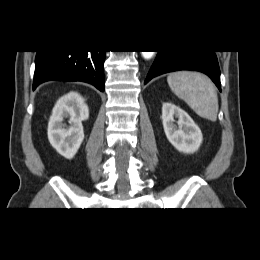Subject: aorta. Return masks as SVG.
Instances as JSON below:
<instances>
[{
  "instance_id": "762f6f07",
  "label": "aorta",
  "mask_w": 260,
  "mask_h": 260,
  "mask_svg": "<svg viewBox=\"0 0 260 260\" xmlns=\"http://www.w3.org/2000/svg\"><path fill=\"white\" fill-rule=\"evenodd\" d=\"M154 53H155L154 51H142V56L145 59H150L153 57Z\"/></svg>"
}]
</instances>
